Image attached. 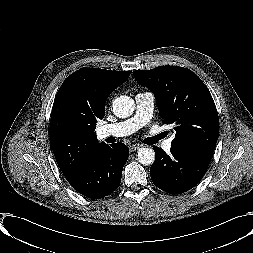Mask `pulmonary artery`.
Returning a JSON list of instances; mask_svg holds the SVG:
<instances>
[{
    "instance_id": "pulmonary-artery-1",
    "label": "pulmonary artery",
    "mask_w": 253,
    "mask_h": 253,
    "mask_svg": "<svg viewBox=\"0 0 253 253\" xmlns=\"http://www.w3.org/2000/svg\"><path fill=\"white\" fill-rule=\"evenodd\" d=\"M136 112L133 117L103 126L99 131V137H123L131 135L143 126L147 125L153 116L154 95L151 92L138 93L135 97ZM173 136L169 137L162 143V148L169 151L172 147Z\"/></svg>"
}]
</instances>
